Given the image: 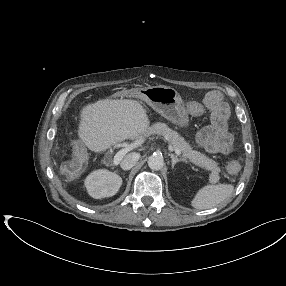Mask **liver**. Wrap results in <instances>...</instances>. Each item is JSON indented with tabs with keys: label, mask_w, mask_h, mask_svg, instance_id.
<instances>
[{
	"label": "liver",
	"mask_w": 286,
	"mask_h": 286,
	"mask_svg": "<svg viewBox=\"0 0 286 286\" xmlns=\"http://www.w3.org/2000/svg\"><path fill=\"white\" fill-rule=\"evenodd\" d=\"M149 124L141 102L101 99L82 109L78 136L91 151L99 153L125 139L140 137Z\"/></svg>",
	"instance_id": "6515ba94"
}]
</instances>
